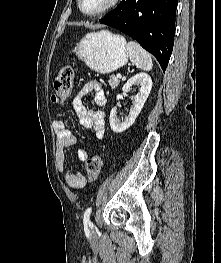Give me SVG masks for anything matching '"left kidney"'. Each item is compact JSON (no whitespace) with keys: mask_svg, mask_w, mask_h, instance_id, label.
I'll use <instances>...</instances> for the list:
<instances>
[{"mask_svg":"<svg viewBox=\"0 0 221 263\" xmlns=\"http://www.w3.org/2000/svg\"><path fill=\"white\" fill-rule=\"evenodd\" d=\"M137 85L140 87L139 92L132 98V106L130 108L129 114L125 116L124 119L120 120L117 118L116 108H112L110 113V127L113 132L121 133L128 129L136 120L137 116L141 112L144 103L146 102L151 88L152 79L146 73H139L131 77L126 84L123 86V94L117 95V100L123 99V95L133 86Z\"/></svg>","mask_w":221,"mask_h":263,"instance_id":"1","label":"left kidney"}]
</instances>
